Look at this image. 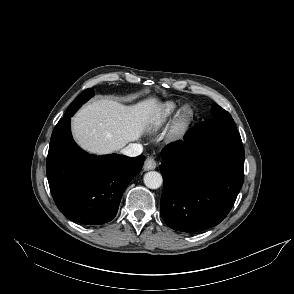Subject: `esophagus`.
I'll return each mask as SVG.
<instances>
[{"label":"esophagus","instance_id":"1","mask_svg":"<svg viewBox=\"0 0 294 294\" xmlns=\"http://www.w3.org/2000/svg\"><path fill=\"white\" fill-rule=\"evenodd\" d=\"M156 165H157V163L152 157H147L144 162L143 169L145 171L153 170L156 168Z\"/></svg>","mask_w":294,"mask_h":294}]
</instances>
